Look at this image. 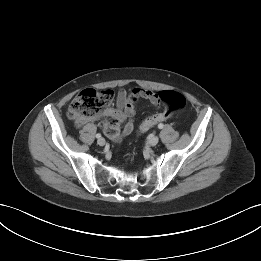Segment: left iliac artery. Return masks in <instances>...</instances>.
Masks as SVG:
<instances>
[{
    "label": "left iliac artery",
    "mask_w": 261,
    "mask_h": 261,
    "mask_svg": "<svg viewBox=\"0 0 261 261\" xmlns=\"http://www.w3.org/2000/svg\"><path fill=\"white\" fill-rule=\"evenodd\" d=\"M164 127V125L162 124V123H160L159 125H158V128L159 129H162Z\"/></svg>",
    "instance_id": "left-iliac-artery-1"
}]
</instances>
